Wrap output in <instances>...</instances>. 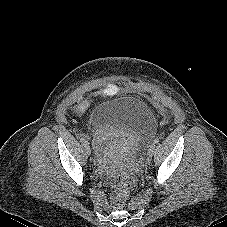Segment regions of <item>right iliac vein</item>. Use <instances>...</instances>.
I'll return each instance as SVG.
<instances>
[{
    "instance_id": "obj_1",
    "label": "right iliac vein",
    "mask_w": 227,
    "mask_h": 227,
    "mask_svg": "<svg viewBox=\"0 0 227 227\" xmlns=\"http://www.w3.org/2000/svg\"><path fill=\"white\" fill-rule=\"evenodd\" d=\"M83 147L85 149L86 154L90 155L91 154V150H90V147H89L87 142H84Z\"/></svg>"
}]
</instances>
